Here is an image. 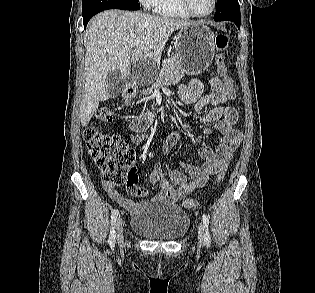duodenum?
<instances>
[{
	"label": "duodenum",
	"mask_w": 315,
	"mask_h": 293,
	"mask_svg": "<svg viewBox=\"0 0 315 293\" xmlns=\"http://www.w3.org/2000/svg\"><path fill=\"white\" fill-rule=\"evenodd\" d=\"M136 91H137L136 86L133 84H130L124 88L123 96L133 97L136 94ZM152 119H153V115L140 117L133 122L132 128L136 131L145 130L150 125Z\"/></svg>",
	"instance_id": "obj_1"
}]
</instances>
